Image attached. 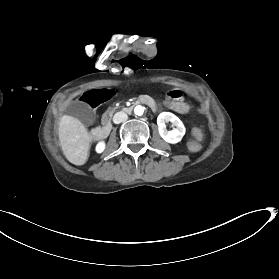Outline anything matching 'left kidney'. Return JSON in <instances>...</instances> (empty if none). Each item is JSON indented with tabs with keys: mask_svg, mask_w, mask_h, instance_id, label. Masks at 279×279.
Segmentation results:
<instances>
[{
	"mask_svg": "<svg viewBox=\"0 0 279 279\" xmlns=\"http://www.w3.org/2000/svg\"><path fill=\"white\" fill-rule=\"evenodd\" d=\"M166 122H172L176 128L172 130H166ZM158 132L161 138L170 144L179 143L185 135L186 128L183 122L171 112H162L157 118Z\"/></svg>",
	"mask_w": 279,
	"mask_h": 279,
	"instance_id": "left-kidney-1",
	"label": "left kidney"
}]
</instances>
